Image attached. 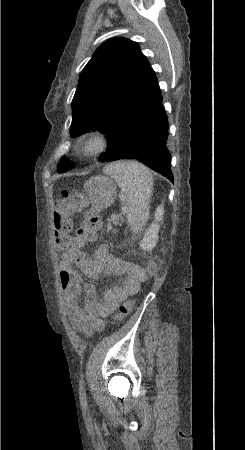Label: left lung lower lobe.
Returning <instances> with one entry per match:
<instances>
[{
	"instance_id": "obj_1",
	"label": "left lung lower lobe",
	"mask_w": 245,
	"mask_h": 450,
	"mask_svg": "<svg viewBox=\"0 0 245 450\" xmlns=\"http://www.w3.org/2000/svg\"><path fill=\"white\" fill-rule=\"evenodd\" d=\"M161 92L146 108L132 135L119 152L107 154L102 160L136 159L174 181L170 152L167 148L168 119Z\"/></svg>"
}]
</instances>
